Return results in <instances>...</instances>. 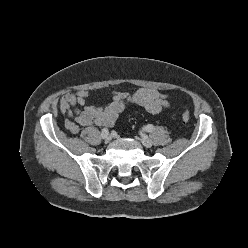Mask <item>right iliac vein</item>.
<instances>
[{
  "label": "right iliac vein",
  "mask_w": 248,
  "mask_h": 248,
  "mask_svg": "<svg viewBox=\"0 0 248 248\" xmlns=\"http://www.w3.org/2000/svg\"><path fill=\"white\" fill-rule=\"evenodd\" d=\"M111 136L110 135H107L105 138H103L104 139V142L105 143H109L110 141H111Z\"/></svg>",
  "instance_id": "obj_1"
}]
</instances>
